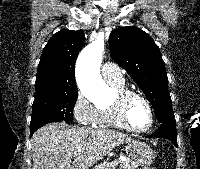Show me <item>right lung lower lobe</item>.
Segmentation results:
<instances>
[{
    "mask_svg": "<svg viewBox=\"0 0 200 169\" xmlns=\"http://www.w3.org/2000/svg\"><path fill=\"white\" fill-rule=\"evenodd\" d=\"M45 124H43V125H37V126H35V127H33V128H30L31 129V133H30V135L32 136V134L37 130V129H39L40 127H42V126H44Z\"/></svg>",
    "mask_w": 200,
    "mask_h": 169,
    "instance_id": "98d812e1",
    "label": "right lung lower lobe"
}]
</instances>
